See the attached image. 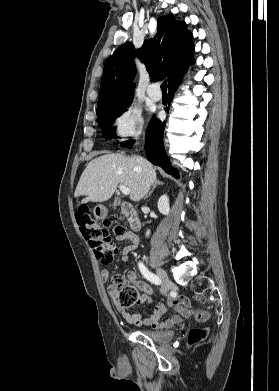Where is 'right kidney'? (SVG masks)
Here are the masks:
<instances>
[{"mask_svg": "<svg viewBox=\"0 0 279 391\" xmlns=\"http://www.w3.org/2000/svg\"><path fill=\"white\" fill-rule=\"evenodd\" d=\"M158 209L163 215H168L170 211L169 198L166 194L162 195L158 200ZM150 235V230H147L146 236Z\"/></svg>", "mask_w": 279, "mask_h": 391, "instance_id": "right-kidney-1", "label": "right kidney"}]
</instances>
